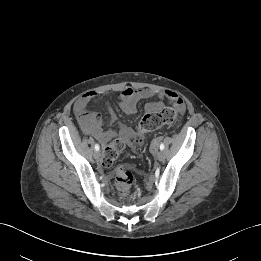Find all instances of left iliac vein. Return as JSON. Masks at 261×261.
Wrapping results in <instances>:
<instances>
[{
	"mask_svg": "<svg viewBox=\"0 0 261 261\" xmlns=\"http://www.w3.org/2000/svg\"><path fill=\"white\" fill-rule=\"evenodd\" d=\"M155 157L160 162L164 161L165 159L164 152L162 150L155 152Z\"/></svg>",
	"mask_w": 261,
	"mask_h": 261,
	"instance_id": "left-iliac-vein-1",
	"label": "left iliac vein"
}]
</instances>
